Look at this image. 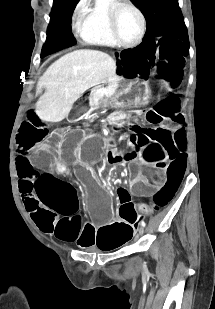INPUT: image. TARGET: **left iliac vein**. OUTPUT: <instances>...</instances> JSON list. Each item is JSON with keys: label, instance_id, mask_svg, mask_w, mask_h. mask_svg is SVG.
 <instances>
[{"label": "left iliac vein", "instance_id": "obj_1", "mask_svg": "<svg viewBox=\"0 0 215 309\" xmlns=\"http://www.w3.org/2000/svg\"><path fill=\"white\" fill-rule=\"evenodd\" d=\"M138 232H139V235H143V233H144V226L140 223L139 224V229H138Z\"/></svg>", "mask_w": 215, "mask_h": 309}]
</instances>
